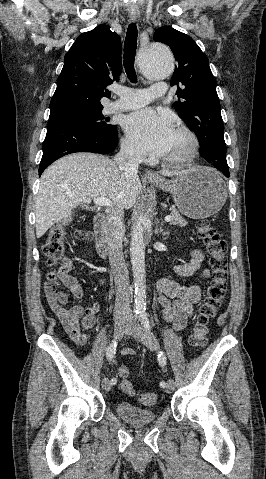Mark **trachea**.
<instances>
[{"instance_id":"1","label":"trachea","mask_w":266,"mask_h":479,"mask_svg":"<svg viewBox=\"0 0 266 479\" xmlns=\"http://www.w3.org/2000/svg\"><path fill=\"white\" fill-rule=\"evenodd\" d=\"M138 31L135 23L129 25L124 43V68L128 79L135 83L137 75L134 68Z\"/></svg>"}]
</instances>
